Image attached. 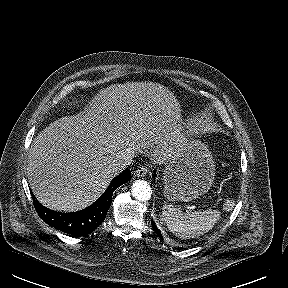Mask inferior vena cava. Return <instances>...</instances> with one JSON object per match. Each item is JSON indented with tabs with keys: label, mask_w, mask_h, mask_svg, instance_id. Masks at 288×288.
<instances>
[{
	"label": "inferior vena cava",
	"mask_w": 288,
	"mask_h": 288,
	"mask_svg": "<svg viewBox=\"0 0 288 288\" xmlns=\"http://www.w3.org/2000/svg\"><path fill=\"white\" fill-rule=\"evenodd\" d=\"M132 155L128 153H122L118 155L110 164L109 169L113 174H118L124 170L132 162Z\"/></svg>",
	"instance_id": "1"
}]
</instances>
